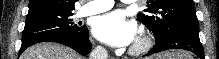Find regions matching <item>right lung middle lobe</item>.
Listing matches in <instances>:
<instances>
[{"label": "right lung middle lobe", "instance_id": "1", "mask_svg": "<svg viewBox=\"0 0 219 59\" xmlns=\"http://www.w3.org/2000/svg\"><path fill=\"white\" fill-rule=\"evenodd\" d=\"M72 15V12L57 10H37L28 13L22 42L54 34L83 36L87 28L74 23L71 18Z\"/></svg>", "mask_w": 219, "mask_h": 59}]
</instances>
